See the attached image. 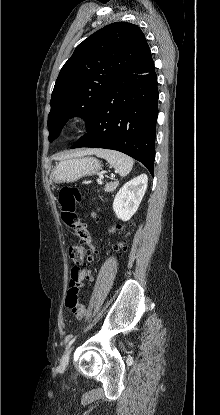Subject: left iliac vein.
Returning <instances> with one entry per match:
<instances>
[{"instance_id": "1", "label": "left iliac vein", "mask_w": 220, "mask_h": 415, "mask_svg": "<svg viewBox=\"0 0 220 415\" xmlns=\"http://www.w3.org/2000/svg\"><path fill=\"white\" fill-rule=\"evenodd\" d=\"M70 352H71V349L65 352V354L63 355L61 359V365L66 366L68 364Z\"/></svg>"}]
</instances>
